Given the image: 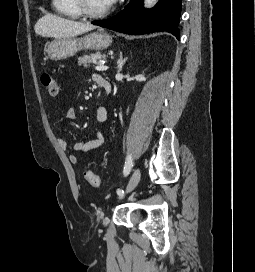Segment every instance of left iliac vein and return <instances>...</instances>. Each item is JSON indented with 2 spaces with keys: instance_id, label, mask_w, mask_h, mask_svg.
I'll use <instances>...</instances> for the list:
<instances>
[{
  "instance_id": "4c4485c4",
  "label": "left iliac vein",
  "mask_w": 255,
  "mask_h": 272,
  "mask_svg": "<svg viewBox=\"0 0 255 272\" xmlns=\"http://www.w3.org/2000/svg\"><path fill=\"white\" fill-rule=\"evenodd\" d=\"M140 176H141L140 170L138 168L135 169L132 176H131V178H130V180H129V183L127 185L126 193L131 192L137 186V184H138V182L140 180ZM118 197L123 198L124 195L118 194Z\"/></svg>"
}]
</instances>
